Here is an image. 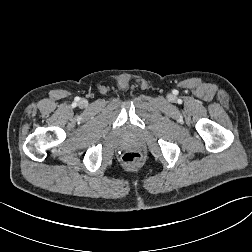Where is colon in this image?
<instances>
[{
  "label": "colon",
  "mask_w": 252,
  "mask_h": 252,
  "mask_svg": "<svg viewBox=\"0 0 252 252\" xmlns=\"http://www.w3.org/2000/svg\"><path fill=\"white\" fill-rule=\"evenodd\" d=\"M123 161L129 165H136L140 162L141 156L137 152H126L123 157Z\"/></svg>",
  "instance_id": "5ec220e1"
}]
</instances>
